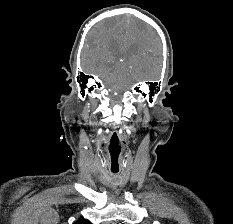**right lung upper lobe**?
<instances>
[{"label":"right lung upper lobe","instance_id":"cb5924a9","mask_svg":"<svg viewBox=\"0 0 233 224\" xmlns=\"http://www.w3.org/2000/svg\"><path fill=\"white\" fill-rule=\"evenodd\" d=\"M74 224H91L88 220L79 219Z\"/></svg>","mask_w":233,"mask_h":224}]
</instances>
